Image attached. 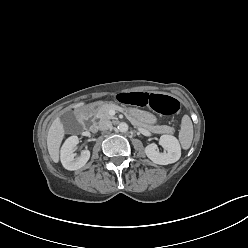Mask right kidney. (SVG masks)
Segmentation results:
<instances>
[{"label": "right kidney", "instance_id": "obj_1", "mask_svg": "<svg viewBox=\"0 0 248 248\" xmlns=\"http://www.w3.org/2000/svg\"><path fill=\"white\" fill-rule=\"evenodd\" d=\"M78 143L79 138L77 136H71L64 142L61 148V163L67 170L74 171L82 168L90 158L89 150H83L81 156L76 157V154L73 152Z\"/></svg>", "mask_w": 248, "mask_h": 248}]
</instances>
